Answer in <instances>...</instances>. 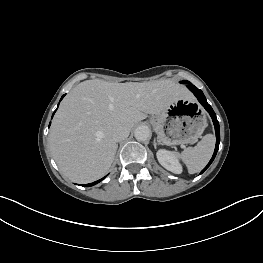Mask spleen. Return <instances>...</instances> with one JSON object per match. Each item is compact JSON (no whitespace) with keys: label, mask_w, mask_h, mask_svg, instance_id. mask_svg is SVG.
<instances>
[{"label":"spleen","mask_w":263,"mask_h":263,"mask_svg":"<svg viewBox=\"0 0 263 263\" xmlns=\"http://www.w3.org/2000/svg\"><path fill=\"white\" fill-rule=\"evenodd\" d=\"M214 147V136L207 134L196 146L188 147L180 154L190 174L197 173L206 166L213 154Z\"/></svg>","instance_id":"3e777b00"}]
</instances>
